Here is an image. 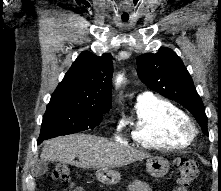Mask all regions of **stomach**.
Listing matches in <instances>:
<instances>
[{
	"instance_id": "obj_1",
	"label": "stomach",
	"mask_w": 221,
	"mask_h": 191,
	"mask_svg": "<svg viewBox=\"0 0 221 191\" xmlns=\"http://www.w3.org/2000/svg\"><path fill=\"white\" fill-rule=\"evenodd\" d=\"M169 162L161 157H151L146 162L147 172L153 177H162L169 170ZM97 179L107 185H115L120 182L121 175L112 169H98L96 171Z\"/></svg>"
}]
</instances>
